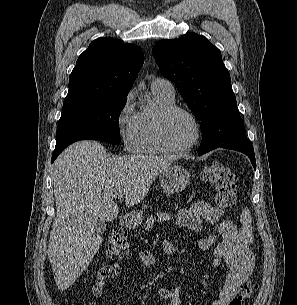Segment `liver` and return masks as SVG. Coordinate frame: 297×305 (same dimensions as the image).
<instances>
[{
    "label": "liver",
    "instance_id": "1",
    "mask_svg": "<svg viewBox=\"0 0 297 305\" xmlns=\"http://www.w3.org/2000/svg\"><path fill=\"white\" fill-rule=\"evenodd\" d=\"M174 158L110 156L91 140L65 149L53 164L56 216L48 244L57 287L64 291L88 268L100 248L98 221H113L119 208L114 194H124L126 206L140 203L153 180Z\"/></svg>",
    "mask_w": 297,
    "mask_h": 305
}]
</instances>
